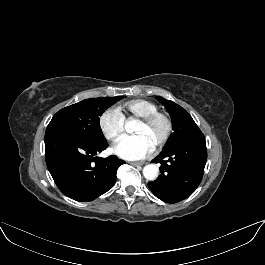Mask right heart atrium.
<instances>
[{
  "label": "right heart atrium",
  "instance_id": "obj_1",
  "mask_svg": "<svg viewBox=\"0 0 265 265\" xmlns=\"http://www.w3.org/2000/svg\"><path fill=\"white\" fill-rule=\"evenodd\" d=\"M98 126L108 141L117 142L124 132V119L119 111L109 108L100 114Z\"/></svg>",
  "mask_w": 265,
  "mask_h": 265
}]
</instances>
